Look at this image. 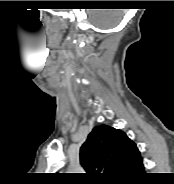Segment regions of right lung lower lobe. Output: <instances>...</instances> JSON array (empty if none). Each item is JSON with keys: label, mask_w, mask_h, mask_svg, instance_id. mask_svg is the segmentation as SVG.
<instances>
[{"label": "right lung lower lobe", "mask_w": 174, "mask_h": 184, "mask_svg": "<svg viewBox=\"0 0 174 184\" xmlns=\"http://www.w3.org/2000/svg\"><path fill=\"white\" fill-rule=\"evenodd\" d=\"M142 158L140 157L132 163L116 182L119 184H136L145 177Z\"/></svg>", "instance_id": "1"}]
</instances>
